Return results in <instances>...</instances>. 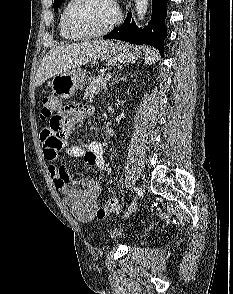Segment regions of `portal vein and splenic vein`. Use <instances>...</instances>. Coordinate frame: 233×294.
<instances>
[{"label":"portal vein and splenic vein","mask_w":233,"mask_h":294,"mask_svg":"<svg viewBox=\"0 0 233 294\" xmlns=\"http://www.w3.org/2000/svg\"><path fill=\"white\" fill-rule=\"evenodd\" d=\"M111 78H112L111 75H107V76H106V80H110Z\"/></svg>","instance_id":"18ae733b"}]
</instances>
